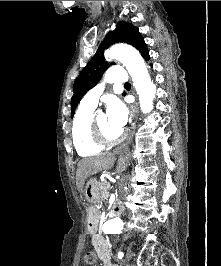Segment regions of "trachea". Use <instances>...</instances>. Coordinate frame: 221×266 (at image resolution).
<instances>
[{
    "instance_id": "trachea-1",
    "label": "trachea",
    "mask_w": 221,
    "mask_h": 266,
    "mask_svg": "<svg viewBox=\"0 0 221 266\" xmlns=\"http://www.w3.org/2000/svg\"><path fill=\"white\" fill-rule=\"evenodd\" d=\"M124 86H131V85H130V83L127 82L124 84Z\"/></svg>"
}]
</instances>
